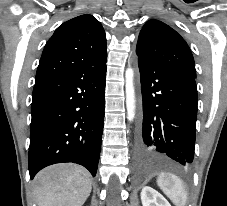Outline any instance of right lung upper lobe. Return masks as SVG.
<instances>
[{"instance_id": "right-lung-upper-lobe-1", "label": "right lung upper lobe", "mask_w": 227, "mask_h": 206, "mask_svg": "<svg viewBox=\"0 0 227 206\" xmlns=\"http://www.w3.org/2000/svg\"><path fill=\"white\" fill-rule=\"evenodd\" d=\"M106 36L101 23L84 14L60 25L43 50L36 81L106 61Z\"/></svg>"}]
</instances>
